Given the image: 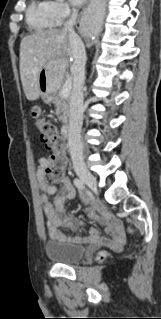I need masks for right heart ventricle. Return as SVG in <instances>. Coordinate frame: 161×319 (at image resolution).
<instances>
[{"label": "right heart ventricle", "mask_w": 161, "mask_h": 319, "mask_svg": "<svg viewBox=\"0 0 161 319\" xmlns=\"http://www.w3.org/2000/svg\"><path fill=\"white\" fill-rule=\"evenodd\" d=\"M27 22L32 30L41 32L57 25L50 1H32L27 10Z\"/></svg>", "instance_id": "obj_1"}]
</instances>
